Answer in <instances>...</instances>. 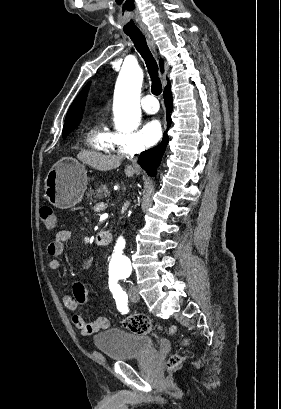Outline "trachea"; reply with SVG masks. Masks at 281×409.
Returning <instances> with one entry per match:
<instances>
[{"mask_svg": "<svg viewBox=\"0 0 281 409\" xmlns=\"http://www.w3.org/2000/svg\"><path fill=\"white\" fill-rule=\"evenodd\" d=\"M126 35H128V37L131 38L137 52L140 53L141 57L145 61V64L148 69V73L152 81V87H151L152 93L156 96L160 95L161 92L163 91V88H162V83L160 81V78L158 76V65H157L155 58L152 55V52L150 51L147 45L145 36L140 31L126 33Z\"/></svg>", "mask_w": 281, "mask_h": 409, "instance_id": "3493384b", "label": "trachea"}]
</instances>
